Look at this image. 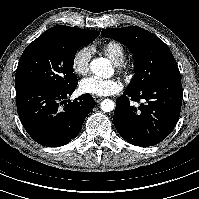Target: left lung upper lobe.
<instances>
[{
    "instance_id": "left-lung-upper-lobe-1",
    "label": "left lung upper lobe",
    "mask_w": 199,
    "mask_h": 199,
    "mask_svg": "<svg viewBox=\"0 0 199 199\" xmlns=\"http://www.w3.org/2000/svg\"><path fill=\"white\" fill-rule=\"evenodd\" d=\"M102 35L122 43L133 54L136 75L127 90L140 91L154 82L180 77L169 47L153 33L138 26H129L107 28Z\"/></svg>"
}]
</instances>
